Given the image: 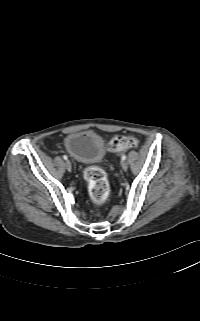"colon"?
Returning <instances> with one entry per match:
<instances>
[{
    "label": "colon",
    "mask_w": 200,
    "mask_h": 321,
    "mask_svg": "<svg viewBox=\"0 0 200 321\" xmlns=\"http://www.w3.org/2000/svg\"><path fill=\"white\" fill-rule=\"evenodd\" d=\"M137 146V140L132 136H116L109 142V150L114 153ZM88 191L92 201L98 205L104 204L110 193V186L105 172L99 167H89L84 172Z\"/></svg>",
    "instance_id": "colon-1"
}]
</instances>
